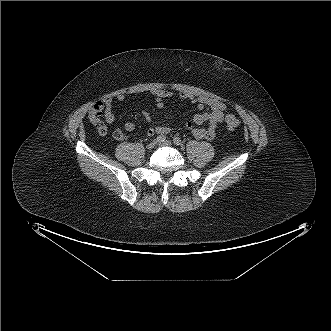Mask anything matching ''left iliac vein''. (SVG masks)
Wrapping results in <instances>:
<instances>
[{
	"label": "left iliac vein",
	"instance_id": "4c4485c4",
	"mask_svg": "<svg viewBox=\"0 0 331 331\" xmlns=\"http://www.w3.org/2000/svg\"><path fill=\"white\" fill-rule=\"evenodd\" d=\"M160 145H162V146H171L172 145V142L169 141V140H166V141L160 143Z\"/></svg>",
	"mask_w": 331,
	"mask_h": 331
}]
</instances>
